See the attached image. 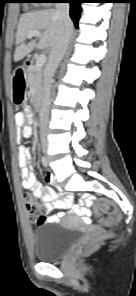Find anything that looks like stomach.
I'll list each match as a JSON object with an SVG mask.
<instances>
[{
    "label": "stomach",
    "instance_id": "obj_1",
    "mask_svg": "<svg viewBox=\"0 0 136 296\" xmlns=\"http://www.w3.org/2000/svg\"><path fill=\"white\" fill-rule=\"evenodd\" d=\"M25 90H27V85H12V89H10V94L11 98H13L14 105L24 104Z\"/></svg>",
    "mask_w": 136,
    "mask_h": 296
}]
</instances>
